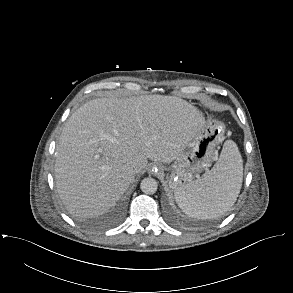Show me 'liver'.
Wrapping results in <instances>:
<instances>
[{
    "mask_svg": "<svg viewBox=\"0 0 293 293\" xmlns=\"http://www.w3.org/2000/svg\"><path fill=\"white\" fill-rule=\"evenodd\" d=\"M202 112L176 96L98 98L67 120L57 146L56 188L74 217L101 215L134 182L148 159L171 163L204 125Z\"/></svg>",
    "mask_w": 293,
    "mask_h": 293,
    "instance_id": "6515ba94",
    "label": "liver"
}]
</instances>
